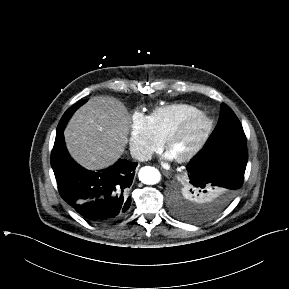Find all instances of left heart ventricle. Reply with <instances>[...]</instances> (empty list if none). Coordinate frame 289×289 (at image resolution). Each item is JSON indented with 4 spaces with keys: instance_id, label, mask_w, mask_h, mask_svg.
Returning <instances> with one entry per match:
<instances>
[{
    "instance_id": "obj_1",
    "label": "left heart ventricle",
    "mask_w": 289,
    "mask_h": 289,
    "mask_svg": "<svg viewBox=\"0 0 289 289\" xmlns=\"http://www.w3.org/2000/svg\"><path fill=\"white\" fill-rule=\"evenodd\" d=\"M205 123L203 120L195 121L190 127L187 134L179 141H177L170 149V153L174 156L182 154L188 149L193 142L200 136L204 129Z\"/></svg>"
}]
</instances>
